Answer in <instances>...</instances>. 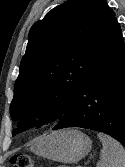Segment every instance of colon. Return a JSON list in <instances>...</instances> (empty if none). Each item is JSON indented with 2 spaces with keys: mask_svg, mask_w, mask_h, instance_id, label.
Here are the masks:
<instances>
[{
  "mask_svg": "<svg viewBox=\"0 0 125 167\" xmlns=\"http://www.w3.org/2000/svg\"><path fill=\"white\" fill-rule=\"evenodd\" d=\"M12 167H34V162L31 156L27 154H15L10 158Z\"/></svg>",
  "mask_w": 125,
  "mask_h": 167,
  "instance_id": "colon-1",
  "label": "colon"
}]
</instances>
